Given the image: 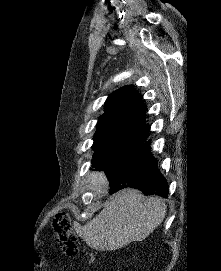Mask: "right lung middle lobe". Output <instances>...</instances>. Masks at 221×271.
Returning a JSON list of instances; mask_svg holds the SVG:
<instances>
[{"label":"right lung middle lobe","mask_w":221,"mask_h":271,"mask_svg":"<svg viewBox=\"0 0 221 271\" xmlns=\"http://www.w3.org/2000/svg\"><path fill=\"white\" fill-rule=\"evenodd\" d=\"M147 131L107 129L94 135L92 167L105 171L136 151L145 141Z\"/></svg>","instance_id":"dd1d6c3e"}]
</instances>
